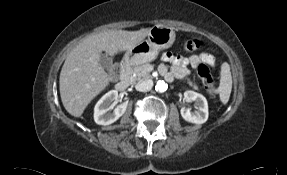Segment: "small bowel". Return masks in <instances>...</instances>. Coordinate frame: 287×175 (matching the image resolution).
<instances>
[{
  "label": "small bowel",
  "mask_w": 287,
  "mask_h": 175,
  "mask_svg": "<svg viewBox=\"0 0 287 175\" xmlns=\"http://www.w3.org/2000/svg\"><path fill=\"white\" fill-rule=\"evenodd\" d=\"M162 60L171 64V70L169 71L165 65L159 67V72L164 76L167 81H171L173 77L184 78L188 75V66L197 68L200 63H207L211 66H215V58L209 53H201L199 55H193L189 58L174 55L171 52H165L162 55Z\"/></svg>",
  "instance_id": "1"
}]
</instances>
